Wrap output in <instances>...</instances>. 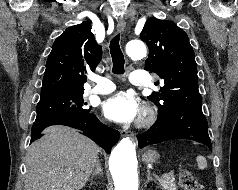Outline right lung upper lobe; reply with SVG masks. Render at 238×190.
<instances>
[{"instance_id":"right-lung-upper-lobe-1","label":"right lung upper lobe","mask_w":238,"mask_h":190,"mask_svg":"<svg viewBox=\"0 0 238 190\" xmlns=\"http://www.w3.org/2000/svg\"><path fill=\"white\" fill-rule=\"evenodd\" d=\"M101 56L102 48L91 32V22L67 28L52 46L40 98L83 92L85 74L95 71Z\"/></svg>"}]
</instances>
